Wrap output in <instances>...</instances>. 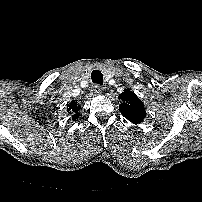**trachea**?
<instances>
[{"instance_id": "3493384b", "label": "trachea", "mask_w": 202, "mask_h": 202, "mask_svg": "<svg viewBox=\"0 0 202 202\" xmlns=\"http://www.w3.org/2000/svg\"><path fill=\"white\" fill-rule=\"evenodd\" d=\"M93 83L103 85V74L99 70H93L91 73Z\"/></svg>"}]
</instances>
